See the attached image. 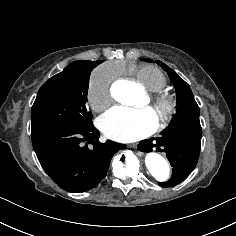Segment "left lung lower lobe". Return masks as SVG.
<instances>
[{
	"mask_svg": "<svg viewBox=\"0 0 236 236\" xmlns=\"http://www.w3.org/2000/svg\"><path fill=\"white\" fill-rule=\"evenodd\" d=\"M201 136V128L175 125L161 132V137H157L154 144V138L140 142V151L150 152L154 146L158 151H164L173 167L172 177L167 182H159L160 186H175L193 171L200 153Z\"/></svg>",
	"mask_w": 236,
	"mask_h": 236,
	"instance_id": "1",
	"label": "left lung lower lobe"
}]
</instances>
